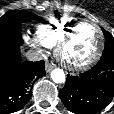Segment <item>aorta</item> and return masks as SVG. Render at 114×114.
<instances>
[{
    "label": "aorta",
    "mask_w": 114,
    "mask_h": 114,
    "mask_svg": "<svg viewBox=\"0 0 114 114\" xmlns=\"http://www.w3.org/2000/svg\"><path fill=\"white\" fill-rule=\"evenodd\" d=\"M51 78L55 83H63L66 80L64 71L59 68L52 70Z\"/></svg>",
    "instance_id": "1"
}]
</instances>
